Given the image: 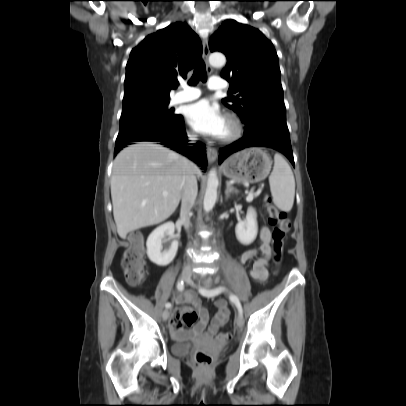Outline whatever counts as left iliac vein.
<instances>
[{"label": "left iliac vein", "instance_id": "left-iliac-vein-1", "mask_svg": "<svg viewBox=\"0 0 406 406\" xmlns=\"http://www.w3.org/2000/svg\"><path fill=\"white\" fill-rule=\"evenodd\" d=\"M205 287H209V284L207 282L204 283ZM236 324L238 328H242L244 325V319L243 316L241 314L238 315L237 319H236Z\"/></svg>", "mask_w": 406, "mask_h": 406}]
</instances>
